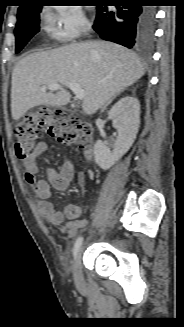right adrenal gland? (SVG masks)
<instances>
[{"label": "right adrenal gland", "mask_w": 184, "mask_h": 327, "mask_svg": "<svg viewBox=\"0 0 184 327\" xmlns=\"http://www.w3.org/2000/svg\"><path fill=\"white\" fill-rule=\"evenodd\" d=\"M124 90L118 92L116 95H114L102 108H101V112H103L107 106L118 96L120 95Z\"/></svg>", "instance_id": "obj_1"}]
</instances>
